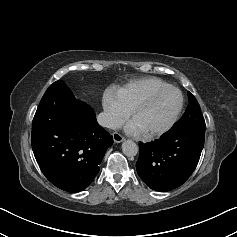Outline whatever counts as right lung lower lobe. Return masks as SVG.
<instances>
[{
    "label": "right lung lower lobe",
    "mask_w": 237,
    "mask_h": 237,
    "mask_svg": "<svg viewBox=\"0 0 237 237\" xmlns=\"http://www.w3.org/2000/svg\"><path fill=\"white\" fill-rule=\"evenodd\" d=\"M31 144L45 177L67 192L85 189L113 137L96 121L93 109L76 99L62 81L45 92L32 123Z\"/></svg>",
    "instance_id": "obj_1"
}]
</instances>
